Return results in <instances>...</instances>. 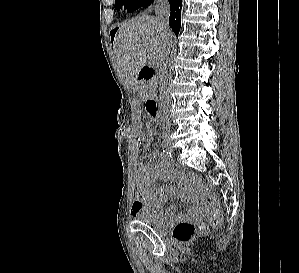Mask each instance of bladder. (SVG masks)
Instances as JSON below:
<instances>
[{"instance_id": "obj_1", "label": "bladder", "mask_w": 299, "mask_h": 273, "mask_svg": "<svg viewBox=\"0 0 299 273\" xmlns=\"http://www.w3.org/2000/svg\"><path fill=\"white\" fill-rule=\"evenodd\" d=\"M174 216L161 217L151 213L148 210L141 211L137 215V220L142 224L150 227L156 232H163L168 225L173 221Z\"/></svg>"}]
</instances>
